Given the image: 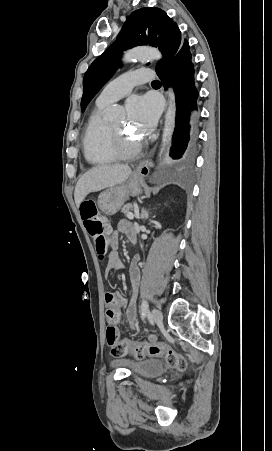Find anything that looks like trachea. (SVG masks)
I'll list each match as a JSON object with an SVG mask.
<instances>
[{
	"label": "trachea",
	"mask_w": 272,
	"mask_h": 451,
	"mask_svg": "<svg viewBox=\"0 0 272 451\" xmlns=\"http://www.w3.org/2000/svg\"><path fill=\"white\" fill-rule=\"evenodd\" d=\"M157 83H160L158 80H154L153 82H152V84H157Z\"/></svg>",
	"instance_id": "obj_1"
}]
</instances>
